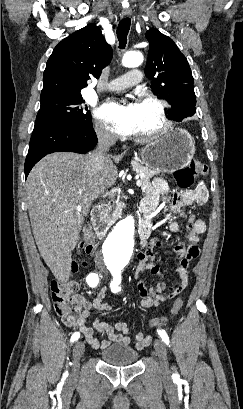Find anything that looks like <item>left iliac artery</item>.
Instances as JSON below:
<instances>
[{"mask_svg": "<svg viewBox=\"0 0 243 409\" xmlns=\"http://www.w3.org/2000/svg\"><path fill=\"white\" fill-rule=\"evenodd\" d=\"M111 273L113 275V279L110 283L111 290L113 292H118L120 291V283H121V272L118 270H112ZM158 335L161 337L162 341H164L167 345H169V337L167 333L164 330H158ZM175 378H178L177 374H174Z\"/></svg>", "mask_w": 243, "mask_h": 409, "instance_id": "1", "label": "left iliac artery"}]
</instances>
